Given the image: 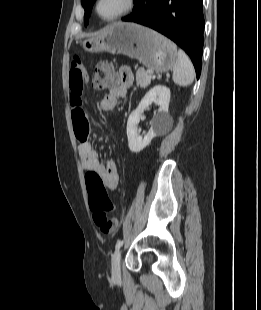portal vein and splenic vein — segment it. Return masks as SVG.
Returning <instances> with one entry per match:
<instances>
[{"mask_svg":"<svg viewBox=\"0 0 261 310\" xmlns=\"http://www.w3.org/2000/svg\"><path fill=\"white\" fill-rule=\"evenodd\" d=\"M147 77H148V79H151V78H155V75L151 73Z\"/></svg>","mask_w":261,"mask_h":310,"instance_id":"portal-vein-and-splenic-vein-1","label":"portal vein and splenic vein"}]
</instances>
